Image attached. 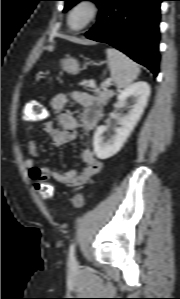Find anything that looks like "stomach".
Here are the masks:
<instances>
[{"label": "stomach", "instance_id": "0dacf381", "mask_svg": "<svg viewBox=\"0 0 180 299\" xmlns=\"http://www.w3.org/2000/svg\"><path fill=\"white\" fill-rule=\"evenodd\" d=\"M61 66L64 71L70 74H77L80 71L79 62L72 58L68 57L61 61ZM40 78V75H37V79Z\"/></svg>", "mask_w": 180, "mask_h": 299}]
</instances>
